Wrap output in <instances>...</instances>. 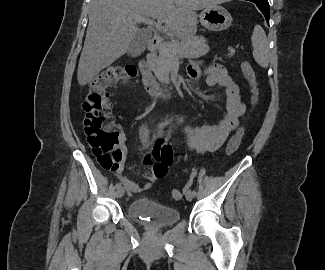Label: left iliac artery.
Returning a JSON list of instances; mask_svg holds the SVG:
<instances>
[{
    "mask_svg": "<svg viewBox=\"0 0 325 270\" xmlns=\"http://www.w3.org/2000/svg\"><path fill=\"white\" fill-rule=\"evenodd\" d=\"M192 193H193V195H194V196H196V195H197V193H196V191H195V190H193V191H192Z\"/></svg>",
    "mask_w": 325,
    "mask_h": 270,
    "instance_id": "44dca946",
    "label": "left iliac artery"
}]
</instances>
